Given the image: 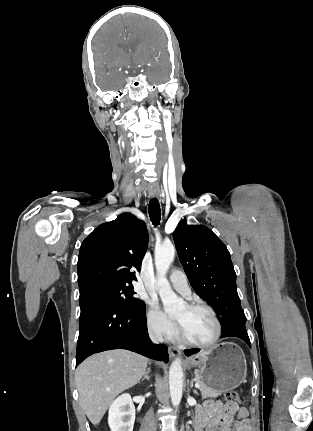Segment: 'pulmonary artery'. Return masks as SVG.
<instances>
[{"label":"pulmonary artery","mask_w":313,"mask_h":431,"mask_svg":"<svg viewBox=\"0 0 313 431\" xmlns=\"http://www.w3.org/2000/svg\"><path fill=\"white\" fill-rule=\"evenodd\" d=\"M169 280L173 286V288L181 293L184 296H190L191 294V289L189 286V283L187 281V277L184 274V272H182L181 270L178 269H174L172 270L170 276H169Z\"/></svg>","instance_id":"obj_1"}]
</instances>
